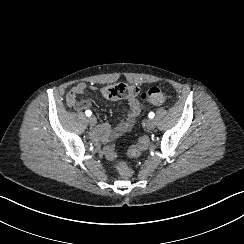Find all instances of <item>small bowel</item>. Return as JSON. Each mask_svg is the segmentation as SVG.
<instances>
[{"instance_id": "c3829d8e", "label": "small bowel", "mask_w": 244, "mask_h": 244, "mask_svg": "<svg viewBox=\"0 0 244 244\" xmlns=\"http://www.w3.org/2000/svg\"><path fill=\"white\" fill-rule=\"evenodd\" d=\"M87 89L88 86L85 83H78L74 85L66 95V105L69 108L75 109L76 111H83L90 107L91 102L89 100L78 99V96L83 94ZM127 103L129 110L115 128H110L107 125H101L99 127L98 136L100 140H113L132 128L136 118L142 111V105L135 96L128 97Z\"/></svg>"}]
</instances>
